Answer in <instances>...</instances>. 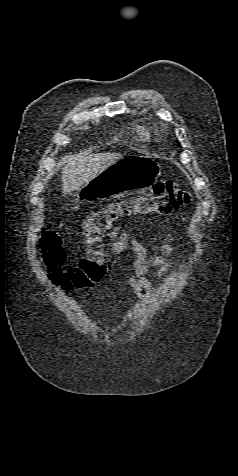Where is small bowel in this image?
Wrapping results in <instances>:
<instances>
[{
  "label": "small bowel",
  "instance_id": "small-bowel-1",
  "mask_svg": "<svg viewBox=\"0 0 238 476\" xmlns=\"http://www.w3.org/2000/svg\"><path fill=\"white\" fill-rule=\"evenodd\" d=\"M109 237L113 240L111 243L108 256H114L131 248L136 255L133 263V275L129 276L125 283L133 289L135 294L140 298L150 295L153 285L146 274L151 268H155L154 276L161 278L162 275L171 267L172 261L168 257L173 252L171 240L166 238L161 244L154 245L152 250L155 255L149 257L147 248L136 238H129L125 229L114 228Z\"/></svg>",
  "mask_w": 238,
  "mask_h": 476
}]
</instances>
